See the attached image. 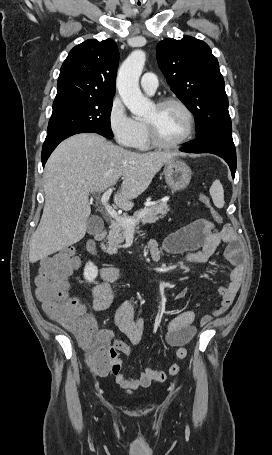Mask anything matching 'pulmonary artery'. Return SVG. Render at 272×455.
<instances>
[{
    "mask_svg": "<svg viewBox=\"0 0 272 455\" xmlns=\"http://www.w3.org/2000/svg\"><path fill=\"white\" fill-rule=\"evenodd\" d=\"M140 85L145 92L149 94L154 93L158 87V80L156 75L152 72L145 73L141 77Z\"/></svg>",
    "mask_w": 272,
    "mask_h": 455,
    "instance_id": "1",
    "label": "pulmonary artery"
}]
</instances>
